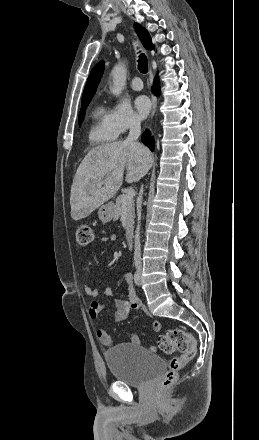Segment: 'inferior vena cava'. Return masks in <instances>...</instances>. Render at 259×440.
Masks as SVG:
<instances>
[{
	"label": "inferior vena cava",
	"mask_w": 259,
	"mask_h": 440,
	"mask_svg": "<svg viewBox=\"0 0 259 440\" xmlns=\"http://www.w3.org/2000/svg\"><path fill=\"white\" fill-rule=\"evenodd\" d=\"M141 134V123L138 119H131L129 124V135L126 139V142L136 144L141 146V144L137 141ZM142 194H143V186L140 189L139 197L137 200V216H138V224L135 231V239H134V264L136 269L140 270L142 267V259H141V243H140V220H141V204H142Z\"/></svg>",
	"instance_id": "602c4592"
}]
</instances>
